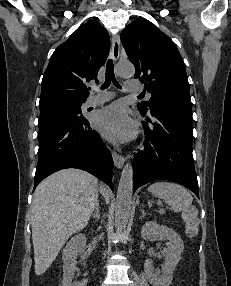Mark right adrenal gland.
Here are the masks:
<instances>
[{"instance_id": "2a0ac1e0", "label": "right adrenal gland", "mask_w": 231, "mask_h": 286, "mask_svg": "<svg viewBox=\"0 0 231 286\" xmlns=\"http://www.w3.org/2000/svg\"><path fill=\"white\" fill-rule=\"evenodd\" d=\"M93 218L99 220L100 218V211H99V203L97 202L95 207V213L93 214Z\"/></svg>"}]
</instances>
